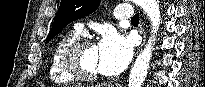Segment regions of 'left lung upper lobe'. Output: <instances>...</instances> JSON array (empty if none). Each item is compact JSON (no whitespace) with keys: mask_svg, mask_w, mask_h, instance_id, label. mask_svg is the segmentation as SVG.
<instances>
[{"mask_svg":"<svg viewBox=\"0 0 205 87\" xmlns=\"http://www.w3.org/2000/svg\"><path fill=\"white\" fill-rule=\"evenodd\" d=\"M101 0H62L52 28L47 36L49 42L70 22L85 17L94 12Z\"/></svg>","mask_w":205,"mask_h":87,"instance_id":"obj_1","label":"left lung upper lobe"}]
</instances>
